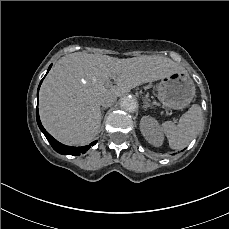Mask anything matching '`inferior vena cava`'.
Returning <instances> with one entry per match:
<instances>
[{
    "mask_svg": "<svg viewBox=\"0 0 229 229\" xmlns=\"http://www.w3.org/2000/svg\"><path fill=\"white\" fill-rule=\"evenodd\" d=\"M101 105H102L103 107H110V106L113 105V103H110L109 101H104V102H102Z\"/></svg>",
    "mask_w": 229,
    "mask_h": 229,
    "instance_id": "obj_1",
    "label": "inferior vena cava"
}]
</instances>
